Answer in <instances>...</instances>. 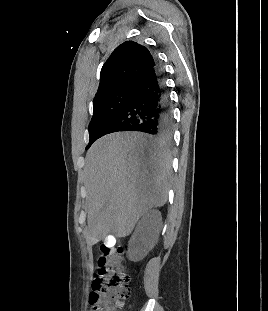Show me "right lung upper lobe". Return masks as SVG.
<instances>
[{"label": "right lung upper lobe", "instance_id": "obj_1", "mask_svg": "<svg viewBox=\"0 0 268 311\" xmlns=\"http://www.w3.org/2000/svg\"><path fill=\"white\" fill-rule=\"evenodd\" d=\"M154 64L155 60L146 47L134 41L122 43L101 69L100 84L94 100L122 86L136 84Z\"/></svg>", "mask_w": 268, "mask_h": 311}]
</instances>
